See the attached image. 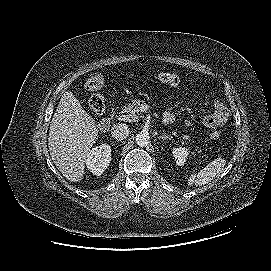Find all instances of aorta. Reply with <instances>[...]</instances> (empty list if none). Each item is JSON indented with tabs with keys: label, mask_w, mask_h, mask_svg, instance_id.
Masks as SVG:
<instances>
[{
	"label": "aorta",
	"mask_w": 271,
	"mask_h": 271,
	"mask_svg": "<svg viewBox=\"0 0 271 271\" xmlns=\"http://www.w3.org/2000/svg\"><path fill=\"white\" fill-rule=\"evenodd\" d=\"M136 143L140 147H145L150 143V136L146 132H140L136 135Z\"/></svg>",
	"instance_id": "1"
}]
</instances>
